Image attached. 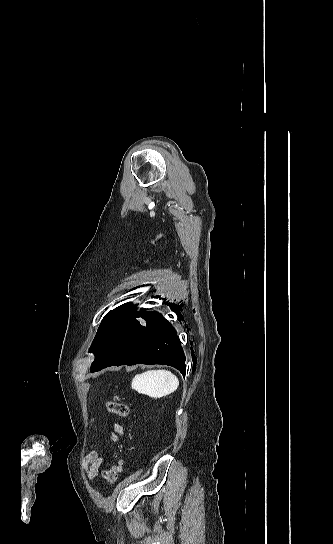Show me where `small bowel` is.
<instances>
[{"label":"small bowel","instance_id":"c3829d8e","mask_svg":"<svg viewBox=\"0 0 333 544\" xmlns=\"http://www.w3.org/2000/svg\"><path fill=\"white\" fill-rule=\"evenodd\" d=\"M123 434L122 427L118 424L114 425V431L112 432V440L117 441L119 436ZM103 463V458L99 456L96 451L90 452L84 459V468L89 480H93L99 472V468Z\"/></svg>","mask_w":333,"mask_h":544}]
</instances>
